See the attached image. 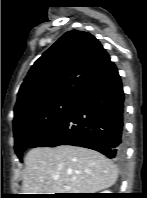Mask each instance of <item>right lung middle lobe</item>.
I'll return each mask as SVG.
<instances>
[{
  "label": "right lung middle lobe",
  "instance_id": "dd1d6c3e",
  "mask_svg": "<svg viewBox=\"0 0 147 198\" xmlns=\"http://www.w3.org/2000/svg\"><path fill=\"white\" fill-rule=\"evenodd\" d=\"M75 100H55L40 105L13 121L15 153L23 152L53 129L69 112Z\"/></svg>",
  "mask_w": 147,
  "mask_h": 198
}]
</instances>
